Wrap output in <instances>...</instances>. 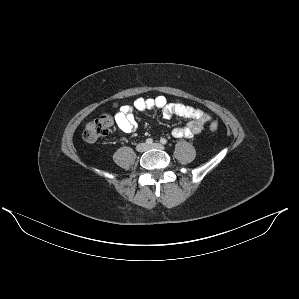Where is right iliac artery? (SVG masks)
Here are the masks:
<instances>
[{"instance_id":"82829eb1","label":"right iliac artery","mask_w":299,"mask_h":299,"mask_svg":"<svg viewBox=\"0 0 299 299\" xmlns=\"http://www.w3.org/2000/svg\"><path fill=\"white\" fill-rule=\"evenodd\" d=\"M152 143H153V139L148 138V139L146 140V144L150 145V144H152Z\"/></svg>"}]
</instances>
